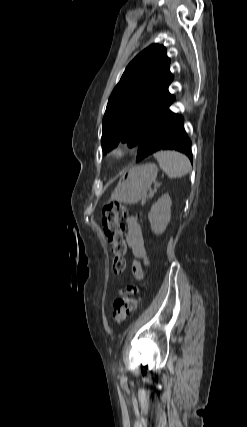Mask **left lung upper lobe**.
<instances>
[{"instance_id":"1","label":"left lung upper lobe","mask_w":247,"mask_h":427,"mask_svg":"<svg viewBox=\"0 0 247 427\" xmlns=\"http://www.w3.org/2000/svg\"><path fill=\"white\" fill-rule=\"evenodd\" d=\"M166 48L153 44L127 66L114 88L103 117L102 149L107 153L120 141L140 143L149 125L173 102V80Z\"/></svg>"}]
</instances>
